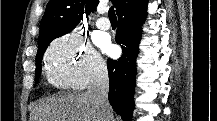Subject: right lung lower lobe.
I'll use <instances>...</instances> for the list:
<instances>
[{
    "mask_svg": "<svg viewBox=\"0 0 217 121\" xmlns=\"http://www.w3.org/2000/svg\"><path fill=\"white\" fill-rule=\"evenodd\" d=\"M147 3L148 0H125V5L117 13L119 27L116 33V41L121 44L123 54L118 60L107 61L109 101L114 111L126 121L131 120L134 108L136 57Z\"/></svg>",
    "mask_w": 217,
    "mask_h": 121,
    "instance_id": "1",
    "label": "right lung lower lobe"
}]
</instances>
